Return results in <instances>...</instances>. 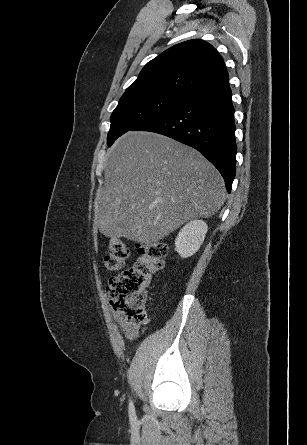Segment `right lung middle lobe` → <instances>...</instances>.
Instances as JSON below:
<instances>
[{"instance_id": "right-lung-middle-lobe-1", "label": "right lung middle lobe", "mask_w": 307, "mask_h": 445, "mask_svg": "<svg viewBox=\"0 0 307 445\" xmlns=\"http://www.w3.org/2000/svg\"><path fill=\"white\" fill-rule=\"evenodd\" d=\"M184 100L178 96L156 94L122 96L110 118L108 146L125 132L172 110Z\"/></svg>"}]
</instances>
